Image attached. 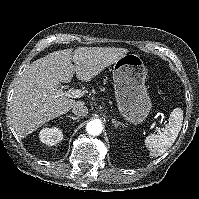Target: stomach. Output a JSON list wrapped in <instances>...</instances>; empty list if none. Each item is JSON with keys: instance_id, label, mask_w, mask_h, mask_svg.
I'll list each match as a JSON object with an SVG mask.
<instances>
[{"instance_id": "stomach-1", "label": "stomach", "mask_w": 199, "mask_h": 199, "mask_svg": "<svg viewBox=\"0 0 199 199\" xmlns=\"http://www.w3.org/2000/svg\"><path fill=\"white\" fill-rule=\"evenodd\" d=\"M147 70L136 54H125L113 66L115 97L120 114L132 124L145 121L151 100L145 86Z\"/></svg>"}]
</instances>
